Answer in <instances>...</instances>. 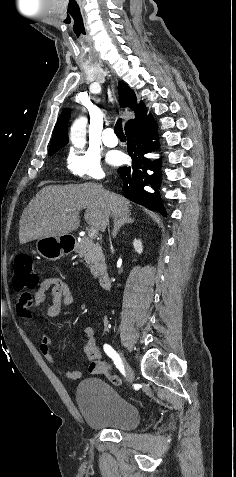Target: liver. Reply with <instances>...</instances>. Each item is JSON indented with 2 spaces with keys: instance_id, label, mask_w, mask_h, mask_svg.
Listing matches in <instances>:
<instances>
[{
  "instance_id": "obj_1",
  "label": "liver",
  "mask_w": 236,
  "mask_h": 477,
  "mask_svg": "<svg viewBox=\"0 0 236 477\" xmlns=\"http://www.w3.org/2000/svg\"><path fill=\"white\" fill-rule=\"evenodd\" d=\"M130 201L95 184L50 185L43 187L24 209L19 222L21 244L68 235L80 225L79 213L85 210L86 222L104 231L105 213L118 218L128 212Z\"/></svg>"
}]
</instances>
